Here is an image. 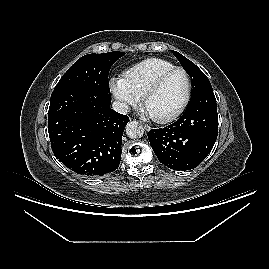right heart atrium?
I'll return each mask as SVG.
<instances>
[{
    "label": "right heart atrium",
    "mask_w": 269,
    "mask_h": 269,
    "mask_svg": "<svg viewBox=\"0 0 269 269\" xmlns=\"http://www.w3.org/2000/svg\"><path fill=\"white\" fill-rule=\"evenodd\" d=\"M109 88L122 111H126L130 107L135 106L140 100V96L130 89L123 77L111 78Z\"/></svg>",
    "instance_id": "right-heart-atrium-1"
}]
</instances>
